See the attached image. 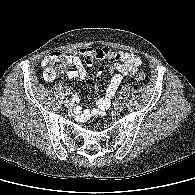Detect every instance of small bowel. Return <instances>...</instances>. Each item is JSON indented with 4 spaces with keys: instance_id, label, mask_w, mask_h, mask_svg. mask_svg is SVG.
Instances as JSON below:
<instances>
[{
    "instance_id": "c3829d8e",
    "label": "small bowel",
    "mask_w": 195,
    "mask_h": 195,
    "mask_svg": "<svg viewBox=\"0 0 195 195\" xmlns=\"http://www.w3.org/2000/svg\"><path fill=\"white\" fill-rule=\"evenodd\" d=\"M64 54L68 58L69 65L72 66L66 72V76L71 80H84L86 78L85 64L93 66L99 62H106L107 70L111 74L104 96L95 102L94 107L85 110L76 109L75 113L80 121H86L92 116H104L111 105L122 78L135 75L142 65L141 58L136 54L114 52L108 48L87 47L64 52ZM104 72L105 69L103 67L99 68V75H102Z\"/></svg>"
}]
</instances>
